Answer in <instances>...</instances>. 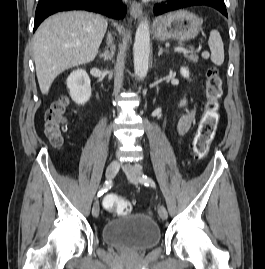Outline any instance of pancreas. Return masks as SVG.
<instances>
[{
  "label": "pancreas",
  "instance_id": "1",
  "mask_svg": "<svg viewBox=\"0 0 265 269\" xmlns=\"http://www.w3.org/2000/svg\"><path fill=\"white\" fill-rule=\"evenodd\" d=\"M184 57L187 58L189 61H192L193 63L198 62L199 57L196 54L193 53H184Z\"/></svg>",
  "mask_w": 265,
  "mask_h": 269
}]
</instances>
